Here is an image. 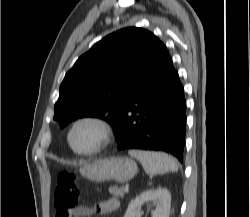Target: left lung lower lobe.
Listing matches in <instances>:
<instances>
[{"mask_svg":"<svg viewBox=\"0 0 250 217\" xmlns=\"http://www.w3.org/2000/svg\"><path fill=\"white\" fill-rule=\"evenodd\" d=\"M185 104L184 88L162 44L152 67L132 91L116 132L118 149L162 151L182 163Z\"/></svg>","mask_w":250,"mask_h":217,"instance_id":"obj_1","label":"left lung lower lobe"}]
</instances>
